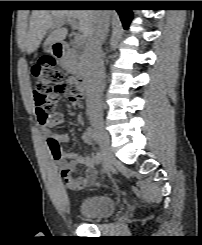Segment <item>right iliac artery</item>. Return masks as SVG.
Returning <instances> with one entry per match:
<instances>
[{
	"label": "right iliac artery",
	"mask_w": 202,
	"mask_h": 245,
	"mask_svg": "<svg viewBox=\"0 0 202 245\" xmlns=\"http://www.w3.org/2000/svg\"><path fill=\"white\" fill-rule=\"evenodd\" d=\"M86 132H87V134L89 135V137L95 142V144L98 147V150H97V153H96V157L95 158H96V162L97 163H100L103 160L104 154H103L101 145L99 143L96 130H95V128L93 126H88L86 128Z\"/></svg>",
	"instance_id": "1"
}]
</instances>
